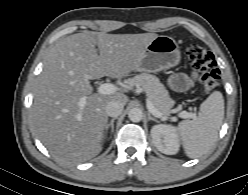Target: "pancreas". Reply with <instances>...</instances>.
<instances>
[{
	"label": "pancreas",
	"instance_id": "obj_1",
	"mask_svg": "<svg viewBox=\"0 0 248 195\" xmlns=\"http://www.w3.org/2000/svg\"><path fill=\"white\" fill-rule=\"evenodd\" d=\"M130 87H140L147 94L148 98L153 103L154 107L167 117L171 113V108L174 106V100L169 96L165 86L159 79L151 74L142 73L126 81Z\"/></svg>",
	"mask_w": 248,
	"mask_h": 195
}]
</instances>
